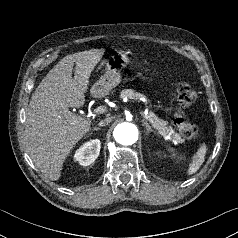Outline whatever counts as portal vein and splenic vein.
<instances>
[{"mask_svg": "<svg viewBox=\"0 0 238 238\" xmlns=\"http://www.w3.org/2000/svg\"><path fill=\"white\" fill-rule=\"evenodd\" d=\"M105 111H106V108H105V107H98V108L95 109V113H104ZM145 118H146L150 123H153V121L149 118L148 115H146ZM166 139H170V137L167 136Z\"/></svg>", "mask_w": 238, "mask_h": 238, "instance_id": "1", "label": "portal vein and splenic vein"}]
</instances>
